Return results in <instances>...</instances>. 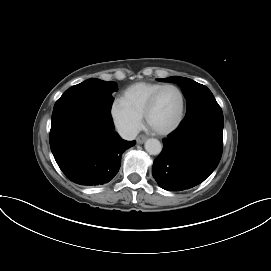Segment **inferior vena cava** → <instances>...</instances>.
I'll return each instance as SVG.
<instances>
[{
    "label": "inferior vena cava",
    "mask_w": 271,
    "mask_h": 271,
    "mask_svg": "<svg viewBox=\"0 0 271 271\" xmlns=\"http://www.w3.org/2000/svg\"><path fill=\"white\" fill-rule=\"evenodd\" d=\"M120 136L125 140H134L138 134V130L136 129H123L119 131Z\"/></svg>",
    "instance_id": "inferior-vena-cava-1"
}]
</instances>
